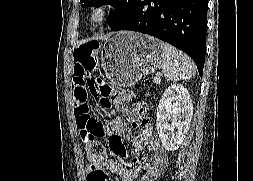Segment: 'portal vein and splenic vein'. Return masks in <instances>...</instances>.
<instances>
[{
  "mask_svg": "<svg viewBox=\"0 0 253 181\" xmlns=\"http://www.w3.org/2000/svg\"><path fill=\"white\" fill-rule=\"evenodd\" d=\"M154 81H155V82H160V79H159V78H156Z\"/></svg>",
  "mask_w": 253,
  "mask_h": 181,
  "instance_id": "obj_1",
  "label": "portal vein and splenic vein"
}]
</instances>
